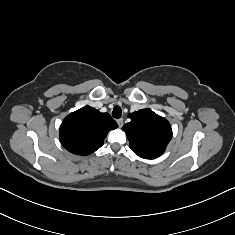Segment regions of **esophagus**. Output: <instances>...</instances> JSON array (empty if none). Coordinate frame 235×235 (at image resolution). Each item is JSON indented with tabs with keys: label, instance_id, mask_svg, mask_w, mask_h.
<instances>
[{
	"label": "esophagus",
	"instance_id": "34e87169",
	"mask_svg": "<svg viewBox=\"0 0 235 235\" xmlns=\"http://www.w3.org/2000/svg\"><path fill=\"white\" fill-rule=\"evenodd\" d=\"M118 126L121 128L123 126V119H117Z\"/></svg>",
	"mask_w": 235,
	"mask_h": 235
}]
</instances>
